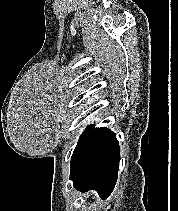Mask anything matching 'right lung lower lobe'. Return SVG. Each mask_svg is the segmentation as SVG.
<instances>
[{
	"mask_svg": "<svg viewBox=\"0 0 178 211\" xmlns=\"http://www.w3.org/2000/svg\"><path fill=\"white\" fill-rule=\"evenodd\" d=\"M120 148L107 128L88 126L71 158L70 179L82 192L95 189L102 198L112 192L119 170Z\"/></svg>",
	"mask_w": 178,
	"mask_h": 211,
	"instance_id": "obj_1",
	"label": "right lung lower lobe"
}]
</instances>
